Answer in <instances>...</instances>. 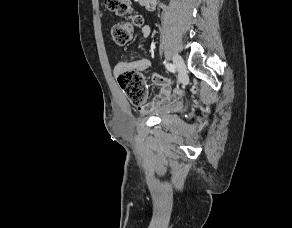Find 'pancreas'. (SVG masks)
Wrapping results in <instances>:
<instances>
[{"label":"pancreas","instance_id":"1","mask_svg":"<svg viewBox=\"0 0 292 228\" xmlns=\"http://www.w3.org/2000/svg\"><path fill=\"white\" fill-rule=\"evenodd\" d=\"M136 1H139V2H141L142 0H136Z\"/></svg>","mask_w":292,"mask_h":228}]
</instances>
